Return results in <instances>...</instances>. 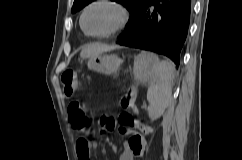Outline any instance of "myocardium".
Segmentation results:
<instances>
[{"label":"myocardium","instance_id":"obj_1","mask_svg":"<svg viewBox=\"0 0 242 160\" xmlns=\"http://www.w3.org/2000/svg\"><path fill=\"white\" fill-rule=\"evenodd\" d=\"M100 4H107V5H111V6L115 7L120 13V21L115 27H113L112 29H110L109 31H107L105 33L93 34V33H90L89 31H87L85 24H84V19H85V15H86L87 11L90 8H92L96 5H100ZM129 18H130V14H129L128 9L119 0H93L89 4H87L84 7V9L82 10L81 15H80V26H81L83 32L87 36L92 37V38H97V39H103V38H108L110 36H113V35L121 32L128 24Z\"/></svg>","mask_w":242,"mask_h":160}]
</instances>
